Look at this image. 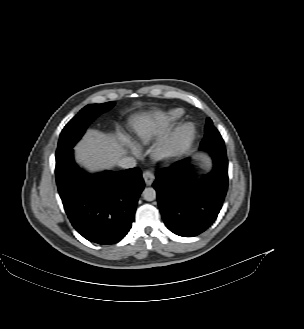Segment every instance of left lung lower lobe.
<instances>
[{
  "instance_id": "1",
  "label": "left lung lower lobe",
  "mask_w": 304,
  "mask_h": 329,
  "mask_svg": "<svg viewBox=\"0 0 304 329\" xmlns=\"http://www.w3.org/2000/svg\"><path fill=\"white\" fill-rule=\"evenodd\" d=\"M200 149L213 158V170L206 177L194 179L189 159H184L157 171L153 183L164 223L183 237L202 233L216 220L228 187L225 145L215 127L205 134Z\"/></svg>"
}]
</instances>
